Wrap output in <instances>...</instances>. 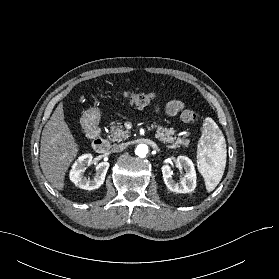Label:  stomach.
<instances>
[{
    "label": "stomach",
    "mask_w": 279,
    "mask_h": 279,
    "mask_svg": "<svg viewBox=\"0 0 279 279\" xmlns=\"http://www.w3.org/2000/svg\"><path fill=\"white\" fill-rule=\"evenodd\" d=\"M101 118V111L98 108H93L85 112L82 117V123L86 128L95 127Z\"/></svg>",
    "instance_id": "0dacf381"
}]
</instances>
